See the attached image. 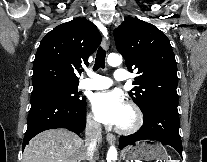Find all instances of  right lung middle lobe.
<instances>
[{
	"label": "right lung middle lobe",
	"mask_w": 207,
	"mask_h": 162,
	"mask_svg": "<svg viewBox=\"0 0 207 162\" xmlns=\"http://www.w3.org/2000/svg\"><path fill=\"white\" fill-rule=\"evenodd\" d=\"M77 86L78 85L48 84L34 87L31 99L42 96H57L72 104L83 103L86 101V98H80Z\"/></svg>",
	"instance_id": "1"
}]
</instances>
